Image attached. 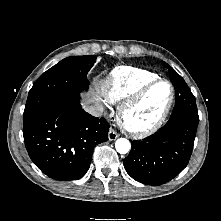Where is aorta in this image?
Listing matches in <instances>:
<instances>
[{"mask_svg":"<svg viewBox=\"0 0 221 221\" xmlns=\"http://www.w3.org/2000/svg\"><path fill=\"white\" fill-rule=\"evenodd\" d=\"M115 148L118 153L126 154L130 151L131 144L127 139L119 138L115 143Z\"/></svg>","mask_w":221,"mask_h":221,"instance_id":"762f6f07","label":"aorta"}]
</instances>
